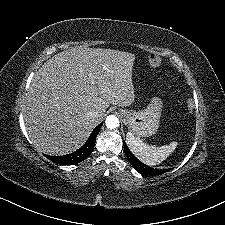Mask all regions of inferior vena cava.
Here are the masks:
<instances>
[{
  "mask_svg": "<svg viewBox=\"0 0 225 225\" xmlns=\"http://www.w3.org/2000/svg\"><path fill=\"white\" fill-rule=\"evenodd\" d=\"M88 116L91 118H96L97 116H99V112L98 111H88Z\"/></svg>",
  "mask_w": 225,
  "mask_h": 225,
  "instance_id": "602c4592",
  "label": "inferior vena cava"
}]
</instances>
